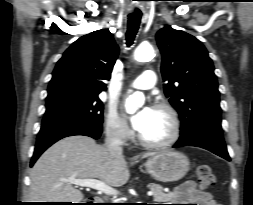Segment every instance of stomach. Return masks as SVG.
Wrapping results in <instances>:
<instances>
[{
  "label": "stomach",
  "instance_id": "obj_1",
  "mask_svg": "<svg viewBox=\"0 0 253 205\" xmlns=\"http://www.w3.org/2000/svg\"><path fill=\"white\" fill-rule=\"evenodd\" d=\"M146 170L156 179L163 182H171L181 179L189 170L188 158L177 151H162L144 164Z\"/></svg>",
  "mask_w": 253,
  "mask_h": 205
}]
</instances>
